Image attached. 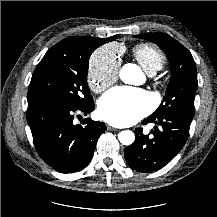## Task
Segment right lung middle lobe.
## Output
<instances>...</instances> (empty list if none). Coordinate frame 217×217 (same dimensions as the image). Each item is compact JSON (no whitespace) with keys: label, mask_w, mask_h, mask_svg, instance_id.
Returning a JSON list of instances; mask_svg holds the SVG:
<instances>
[{"label":"right lung middle lobe","mask_w":217,"mask_h":217,"mask_svg":"<svg viewBox=\"0 0 217 217\" xmlns=\"http://www.w3.org/2000/svg\"><path fill=\"white\" fill-rule=\"evenodd\" d=\"M99 38H66L49 49L37 65L29 85L28 108L40 105L82 107L93 101L87 85L91 53Z\"/></svg>","instance_id":"dd1d6c3e"}]
</instances>
